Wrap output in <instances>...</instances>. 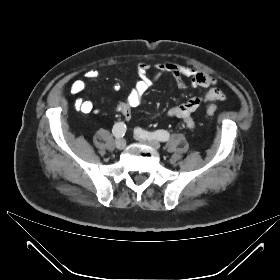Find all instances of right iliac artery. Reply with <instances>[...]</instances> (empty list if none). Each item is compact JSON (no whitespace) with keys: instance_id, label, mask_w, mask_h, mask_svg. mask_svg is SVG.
<instances>
[{"instance_id":"obj_1","label":"right iliac artery","mask_w":280,"mask_h":280,"mask_svg":"<svg viewBox=\"0 0 280 280\" xmlns=\"http://www.w3.org/2000/svg\"><path fill=\"white\" fill-rule=\"evenodd\" d=\"M112 132L116 138H121L126 133V125L123 122L116 123L113 126Z\"/></svg>"}]
</instances>
